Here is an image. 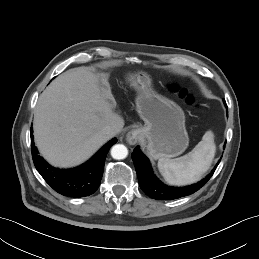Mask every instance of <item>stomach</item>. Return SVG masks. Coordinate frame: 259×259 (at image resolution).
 <instances>
[{
    "instance_id": "stomach-1",
    "label": "stomach",
    "mask_w": 259,
    "mask_h": 259,
    "mask_svg": "<svg viewBox=\"0 0 259 259\" xmlns=\"http://www.w3.org/2000/svg\"><path fill=\"white\" fill-rule=\"evenodd\" d=\"M128 80L138 92L136 107L145 122L139 132L147 140L149 155L159 159L182 154L189 143L183 110L173 101L153 92L151 79L146 73L138 71L129 75Z\"/></svg>"
}]
</instances>
